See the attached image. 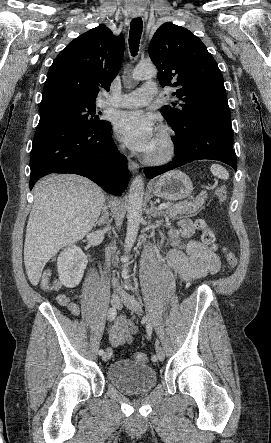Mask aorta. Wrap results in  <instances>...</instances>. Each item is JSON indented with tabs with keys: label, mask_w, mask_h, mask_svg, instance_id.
Returning <instances> with one entry per match:
<instances>
[{
	"label": "aorta",
	"mask_w": 271,
	"mask_h": 443,
	"mask_svg": "<svg viewBox=\"0 0 271 443\" xmlns=\"http://www.w3.org/2000/svg\"><path fill=\"white\" fill-rule=\"evenodd\" d=\"M157 76V68L154 64H139L132 72L134 80H145V78H155ZM144 198V182L141 176L134 178L128 196L127 204V229L125 237V251L128 253L132 245H134L139 231V225L142 218ZM126 273V271H124Z\"/></svg>",
	"instance_id": "1"
}]
</instances>
